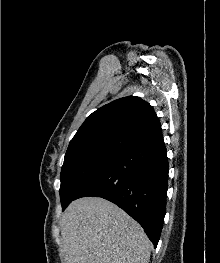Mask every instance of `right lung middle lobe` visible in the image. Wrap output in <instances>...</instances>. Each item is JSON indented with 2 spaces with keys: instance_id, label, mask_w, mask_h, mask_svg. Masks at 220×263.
Wrapping results in <instances>:
<instances>
[{
  "instance_id": "right-lung-middle-lobe-1",
  "label": "right lung middle lobe",
  "mask_w": 220,
  "mask_h": 263,
  "mask_svg": "<svg viewBox=\"0 0 220 263\" xmlns=\"http://www.w3.org/2000/svg\"><path fill=\"white\" fill-rule=\"evenodd\" d=\"M122 150L110 148L82 149L66 152L60 180L62 209L103 168L115 160Z\"/></svg>"
}]
</instances>
